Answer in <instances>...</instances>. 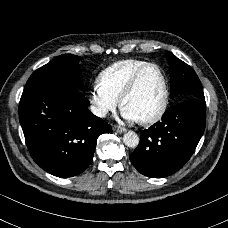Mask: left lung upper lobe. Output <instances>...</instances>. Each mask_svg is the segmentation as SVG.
<instances>
[{"label":"left lung upper lobe","mask_w":228,"mask_h":228,"mask_svg":"<svg viewBox=\"0 0 228 228\" xmlns=\"http://www.w3.org/2000/svg\"><path fill=\"white\" fill-rule=\"evenodd\" d=\"M170 66L171 95H185V99H205L201 82L195 71L171 52H166Z\"/></svg>","instance_id":"left-lung-upper-lobe-1"}]
</instances>
